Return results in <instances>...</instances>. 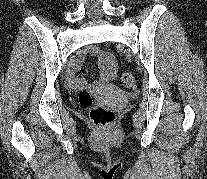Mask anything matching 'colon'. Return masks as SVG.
I'll return each instance as SVG.
<instances>
[{
    "label": "colon",
    "mask_w": 207,
    "mask_h": 179,
    "mask_svg": "<svg viewBox=\"0 0 207 179\" xmlns=\"http://www.w3.org/2000/svg\"><path fill=\"white\" fill-rule=\"evenodd\" d=\"M121 80L124 87H130L133 83V73L124 72ZM78 101L82 107L90 109V118L96 125L102 127L113 125L115 121L113 110L102 105H94L92 95L87 90L79 92Z\"/></svg>",
    "instance_id": "5ec220e1"
}]
</instances>
